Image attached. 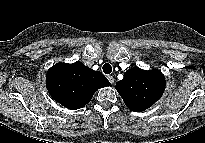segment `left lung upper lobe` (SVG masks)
I'll use <instances>...</instances> for the list:
<instances>
[{
    "label": "left lung upper lobe",
    "instance_id": "1",
    "mask_svg": "<svg viewBox=\"0 0 205 143\" xmlns=\"http://www.w3.org/2000/svg\"><path fill=\"white\" fill-rule=\"evenodd\" d=\"M116 90L130 110L141 112L161 98L165 90V78L157 69L146 71L131 68L116 83Z\"/></svg>",
    "mask_w": 205,
    "mask_h": 143
}]
</instances>
